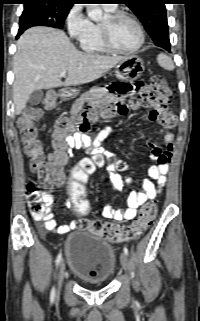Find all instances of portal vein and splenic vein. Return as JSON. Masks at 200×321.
<instances>
[{"mask_svg":"<svg viewBox=\"0 0 200 321\" xmlns=\"http://www.w3.org/2000/svg\"><path fill=\"white\" fill-rule=\"evenodd\" d=\"M66 73H67L66 71H63V72H61L60 76H65Z\"/></svg>","mask_w":200,"mask_h":321,"instance_id":"18ae733b","label":"portal vein and splenic vein"}]
</instances>
